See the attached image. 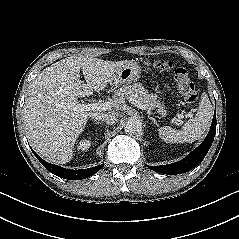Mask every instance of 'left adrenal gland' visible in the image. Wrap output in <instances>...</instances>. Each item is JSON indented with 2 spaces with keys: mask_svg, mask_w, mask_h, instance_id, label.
<instances>
[{
  "mask_svg": "<svg viewBox=\"0 0 239 239\" xmlns=\"http://www.w3.org/2000/svg\"><path fill=\"white\" fill-rule=\"evenodd\" d=\"M149 117V119H151L153 122H154V124L158 127L159 125H158V123H157V121L153 118V117H150V116H148Z\"/></svg>",
  "mask_w": 239,
  "mask_h": 239,
  "instance_id": "1",
  "label": "left adrenal gland"
}]
</instances>
